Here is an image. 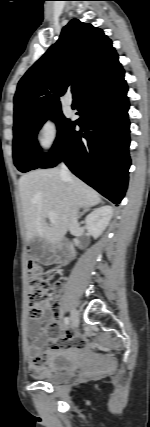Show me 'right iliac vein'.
<instances>
[{"instance_id":"right-iliac-vein-1","label":"right iliac vein","mask_w":150,"mask_h":427,"mask_svg":"<svg viewBox=\"0 0 150 427\" xmlns=\"http://www.w3.org/2000/svg\"><path fill=\"white\" fill-rule=\"evenodd\" d=\"M70 320H71V325L73 327H77L79 325V313H78V311L72 310Z\"/></svg>"}]
</instances>
